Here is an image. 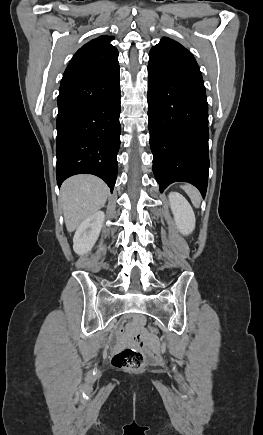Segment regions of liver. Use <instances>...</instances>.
I'll use <instances>...</instances> for the list:
<instances>
[{"mask_svg":"<svg viewBox=\"0 0 263 435\" xmlns=\"http://www.w3.org/2000/svg\"><path fill=\"white\" fill-rule=\"evenodd\" d=\"M109 194L107 185L96 176L76 175L61 186L65 225L68 232L74 231L86 218L100 210Z\"/></svg>","mask_w":263,"mask_h":435,"instance_id":"6515ba94","label":"liver"}]
</instances>
